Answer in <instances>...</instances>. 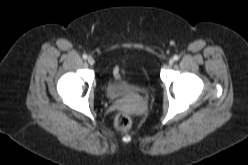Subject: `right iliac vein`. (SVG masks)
Here are the masks:
<instances>
[{"label": "right iliac vein", "mask_w": 248, "mask_h": 165, "mask_svg": "<svg viewBox=\"0 0 248 165\" xmlns=\"http://www.w3.org/2000/svg\"><path fill=\"white\" fill-rule=\"evenodd\" d=\"M87 61H88V63L90 64V65H93L94 64V58L93 57H91V56H89L88 58H87Z\"/></svg>", "instance_id": "1"}]
</instances>
